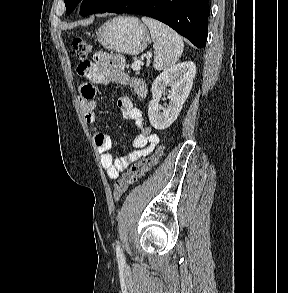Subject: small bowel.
<instances>
[{
  "mask_svg": "<svg viewBox=\"0 0 288 293\" xmlns=\"http://www.w3.org/2000/svg\"><path fill=\"white\" fill-rule=\"evenodd\" d=\"M77 72L90 81L81 85L79 97L84 119L90 124L96 122L97 100L94 84L129 86L139 99H144L147 95L144 81L140 78H131L125 72L124 58L118 54L99 52L93 62L80 63ZM117 106L123 118L134 124L138 134L133 139L135 150L120 157H114L111 153L112 140L108 134L102 131L94 134L93 140L100 155L101 165L111 180L117 179L130 164L150 154L159 142V137L144 124L141 111L134 106L129 97H118Z\"/></svg>",
  "mask_w": 288,
  "mask_h": 293,
  "instance_id": "small-bowel-1",
  "label": "small bowel"
}]
</instances>
